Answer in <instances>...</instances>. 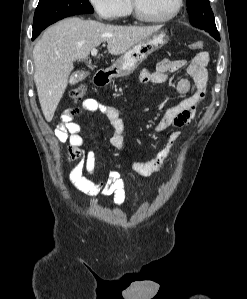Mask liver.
Here are the masks:
<instances>
[{"label":"liver","instance_id":"6515ba94","mask_svg":"<svg viewBox=\"0 0 247 299\" xmlns=\"http://www.w3.org/2000/svg\"><path fill=\"white\" fill-rule=\"evenodd\" d=\"M161 27L110 25L79 17L66 18L50 26L33 50L34 82L46 121L53 119L73 62L86 59L103 42L108 43L110 54H123Z\"/></svg>","mask_w":247,"mask_h":299}]
</instances>
